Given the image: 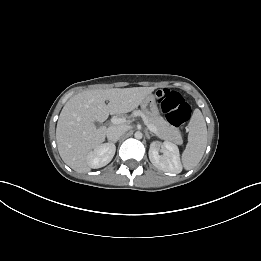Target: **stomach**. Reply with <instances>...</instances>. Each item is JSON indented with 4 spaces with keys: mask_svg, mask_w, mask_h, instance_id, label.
<instances>
[{
    "mask_svg": "<svg viewBox=\"0 0 261 261\" xmlns=\"http://www.w3.org/2000/svg\"><path fill=\"white\" fill-rule=\"evenodd\" d=\"M141 109L147 115H155L158 113V107L156 103V98L154 95H149L141 103Z\"/></svg>",
    "mask_w": 261,
    "mask_h": 261,
    "instance_id": "obj_1",
    "label": "stomach"
}]
</instances>
